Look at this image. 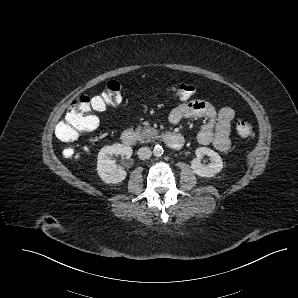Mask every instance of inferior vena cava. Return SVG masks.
<instances>
[{"instance_id": "obj_1", "label": "inferior vena cava", "mask_w": 298, "mask_h": 298, "mask_svg": "<svg viewBox=\"0 0 298 298\" xmlns=\"http://www.w3.org/2000/svg\"><path fill=\"white\" fill-rule=\"evenodd\" d=\"M152 155L151 149L148 147H143L138 150V157L140 159H148Z\"/></svg>"}]
</instances>
